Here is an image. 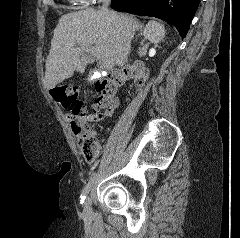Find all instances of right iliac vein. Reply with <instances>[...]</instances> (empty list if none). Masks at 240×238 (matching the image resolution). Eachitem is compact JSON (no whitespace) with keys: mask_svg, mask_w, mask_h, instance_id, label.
<instances>
[{"mask_svg":"<svg viewBox=\"0 0 240 238\" xmlns=\"http://www.w3.org/2000/svg\"><path fill=\"white\" fill-rule=\"evenodd\" d=\"M83 212L85 215H89L91 212V200L89 198L86 199L83 205Z\"/></svg>","mask_w":240,"mask_h":238,"instance_id":"1","label":"right iliac vein"}]
</instances>
